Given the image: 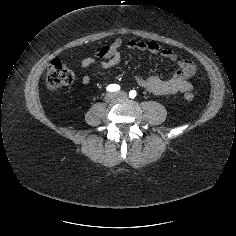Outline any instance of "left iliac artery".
I'll return each mask as SVG.
<instances>
[{"label": "left iliac artery", "instance_id": "obj_1", "mask_svg": "<svg viewBox=\"0 0 236 236\" xmlns=\"http://www.w3.org/2000/svg\"><path fill=\"white\" fill-rule=\"evenodd\" d=\"M136 95H137V92H136L135 90H131V91L129 92V97H130L131 99H134V98L136 97Z\"/></svg>", "mask_w": 236, "mask_h": 236}]
</instances>
